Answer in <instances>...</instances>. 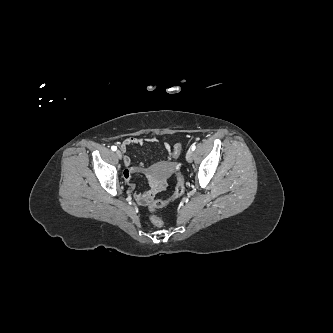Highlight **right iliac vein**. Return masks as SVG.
Segmentation results:
<instances>
[{
    "label": "right iliac vein",
    "mask_w": 333,
    "mask_h": 333,
    "mask_svg": "<svg viewBox=\"0 0 333 333\" xmlns=\"http://www.w3.org/2000/svg\"><path fill=\"white\" fill-rule=\"evenodd\" d=\"M115 154H116V156H117L119 159L122 158V153H121L120 150H116Z\"/></svg>",
    "instance_id": "obj_1"
}]
</instances>
